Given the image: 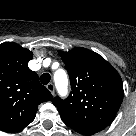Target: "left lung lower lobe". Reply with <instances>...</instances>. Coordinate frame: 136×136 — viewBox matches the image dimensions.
<instances>
[{
    "label": "left lung lower lobe",
    "mask_w": 136,
    "mask_h": 136,
    "mask_svg": "<svg viewBox=\"0 0 136 136\" xmlns=\"http://www.w3.org/2000/svg\"><path fill=\"white\" fill-rule=\"evenodd\" d=\"M102 129L104 128L103 127H84V128L75 129V131L83 135H93L97 133L98 131H101Z\"/></svg>",
    "instance_id": "0a47b994"
}]
</instances>
